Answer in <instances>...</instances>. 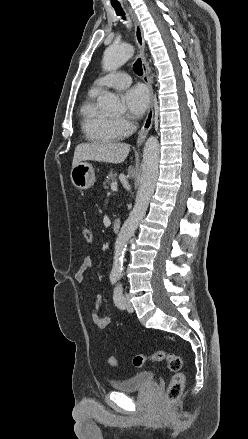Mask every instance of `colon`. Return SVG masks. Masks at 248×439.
<instances>
[{
	"instance_id": "obj_1",
	"label": "colon",
	"mask_w": 248,
	"mask_h": 439,
	"mask_svg": "<svg viewBox=\"0 0 248 439\" xmlns=\"http://www.w3.org/2000/svg\"><path fill=\"white\" fill-rule=\"evenodd\" d=\"M82 235L87 243L93 242V234L90 229L84 228ZM132 362L135 367H142L151 362H165L168 368L173 372L167 388L166 399L169 403H175L181 397L184 389L185 376L182 372L183 362L180 356L171 352L156 351L149 355H136ZM107 363L109 366L115 367L118 365V360L114 356H109Z\"/></svg>"
}]
</instances>
